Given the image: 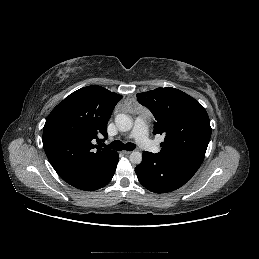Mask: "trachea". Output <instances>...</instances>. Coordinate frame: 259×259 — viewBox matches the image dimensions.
<instances>
[{
    "instance_id": "3493384b",
    "label": "trachea",
    "mask_w": 259,
    "mask_h": 259,
    "mask_svg": "<svg viewBox=\"0 0 259 259\" xmlns=\"http://www.w3.org/2000/svg\"><path fill=\"white\" fill-rule=\"evenodd\" d=\"M110 148H112L113 150H117V151H121V150H127V151H133L136 146L133 143H126L123 144L121 141L119 140H115L113 141L110 145Z\"/></svg>"
}]
</instances>
